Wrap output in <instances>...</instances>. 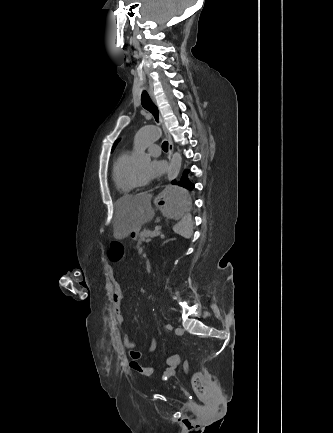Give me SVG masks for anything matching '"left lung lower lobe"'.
<instances>
[{
  "label": "left lung lower lobe",
  "instance_id": "0a47b994",
  "mask_svg": "<svg viewBox=\"0 0 333 433\" xmlns=\"http://www.w3.org/2000/svg\"><path fill=\"white\" fill-rule=\"evenodd\" d=\"M188 173H189V170H185L183 172V175L181 176L179 182H178L179 186H182L184 188V190L186 191V193L188 190L191 191L194 188V184L187 177ZM172 183L175 184L176 183L175 180ZM171 203H173V202H171Z\"/></svg>",
  "mask_w": 333,
  "mask_h": 433
}]
</instances>
